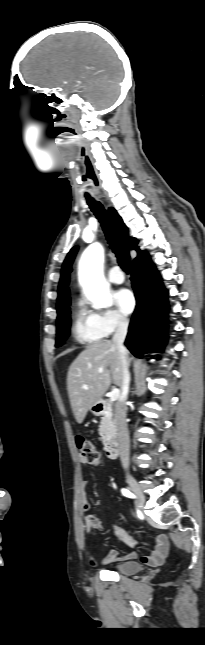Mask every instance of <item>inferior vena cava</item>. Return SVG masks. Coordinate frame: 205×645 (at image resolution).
<instances>
[{
  "mask_svg": "<svg viewBox=\"0 0 205 645\" xmlns=\"http://www.w3.org/2000/svg\"><path fill=\"white\" fill-rule=\"evenodd\" d=\"M128 324L129 322L126 318L119 317L117 329L112 339L113 344L117 347L120 353L121 366H122L121 396L115 408V423H116L117 435H118V441H119L120 460H121L122 466L125 469H128L129 467V455H130V440H129V433H128V428L126 423V407H125V402L129 391L130 373H129L128 351L123 344L127 335Z\"/></svg>",
  "mask_w": 205,
  "mask_h": 645,
  "instance_id": "obj_1",
  "label": "inferior vena cava"
}]
</instances>
